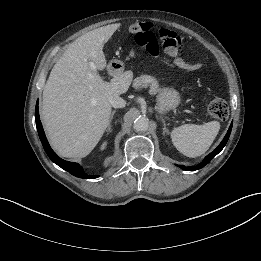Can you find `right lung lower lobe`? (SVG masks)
I'll use <instances>...</instances> for the list:
<instances>
[{
    "instance_id": "98d812e1",
    "label": "right lung lower lobe",
    "mask_w": 261,
    "mask_h": 261,
    "mask_svg": "<svg viewBox=\"0 0 261 261\" xmlns=\"http://www.w3.org/2000/svg\"><path fill=\"white\" fill-rule=\"evenodd\" d=\"M35 119H36V127H37V131L40 137V140L42 142V145L44 147V150L46 151L47 155L49 156V158L58 166H60L62 169L68 171L69 173H71L72 175L79 177V178H86V179H92V178H97L98 176H91V175H87L84 173L82 167L77 164V163H73V162H68L65 161L61 158H59L54 151L51 149L46 136L44 134L43 131V127L41 124V121L39 119V112H38V101L36 103V108H35Z\"/></svg>"
}]
</instances>
